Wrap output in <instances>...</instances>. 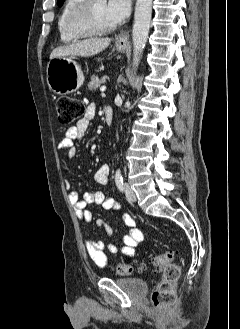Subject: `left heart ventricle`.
Here are the masks:
<instances>
[{"mask_svg":"<svg viewBox=\"0 0 240 329\" xmlns=\"http://www.w3.org/2000/svg\"><path fill=\"white\" fill-rule=\"evenodd\" d=\"M93 17L97 25L108 26L115 22L107 14L106 0H95L93 4Z\"/></svg>","mask_w":240,"mask_h":329,"instance_id":"1","label":"left heart ventricle"}]
</instances>
